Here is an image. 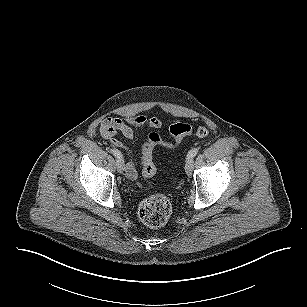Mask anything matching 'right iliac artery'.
<instances>
[{"instance_id":"right-iliac-artery-1","label":"right iliac artery","mask_w":307,"mask_h":307,"mask_svg":"<svg viewBox=\"0 0 307 307\" xmlns=\"http://www.w3.org/2000/svg\"><path fill=\"white\" fill-rule=\"evenodd\" d=\"M110 151H111V153H112L115 157H117V158H122V154H121V152H120L119 150H117V149H111Z\"/></svg>"}]
</instances>
